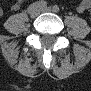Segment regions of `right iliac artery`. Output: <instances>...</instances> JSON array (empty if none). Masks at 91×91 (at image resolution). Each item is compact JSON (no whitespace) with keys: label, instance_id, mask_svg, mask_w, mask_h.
<instances>
[{"label":"right iliac artery","instance_id":"right-iliac-artery-1","mask_svg":"<svg viewBox=\"0 0 91 91\" xmlns=\"http://www.w3.org/2000/svg\"><path fill=\"white\" fill-rule=\"evenodd\" d=\"M46 5H47V2L46 1L40 0V1H37V2H35L33 4H31L28 7L27 11H28V13H30L31 11L36 10L38 8L45 7Z\"/></svg>","mask_w":91,"mask_h":91}]
</instances>
